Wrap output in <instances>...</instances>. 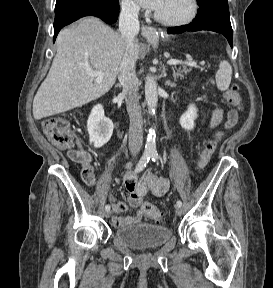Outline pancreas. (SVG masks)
I'll list each match as a JSON object with an SVG mask.
<instances>
[{
    "label": "pancreas",
    "instance_id": "obj_1",
    "mask_svg": "<svg viewBox=\"0 0 273 288\" xmlns=\"http://www.w3.org/2000/svg\"><path fill=\"white\" fill-rule=\"evenodd\" d=\"M173 70V75H174V78H183L184 75H187V73L190 71L186 66H183V68H177V67H174L172 68Z\"/></svg>",
    "mask_w": 273,
    "mask_h": 288
}]
</instances>
